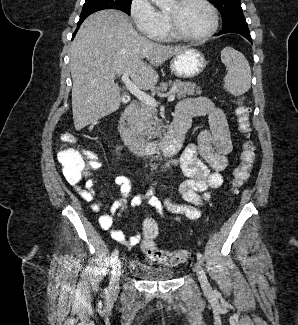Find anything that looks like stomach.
<instances>
[{
	"label": "stomach",
	"instance_id": "0dacf381",
	"mask_svg": "<svg viewBox=\"0 0 298 325\" xmlns=\"http://www.w3.org/2000/svg\"><path fill=\"white\" fill-rule=\"evenodd\" d=\"M208 60L200 48H188L172 56L169 68L177 78H194L201 74Z\"/></svg>",
	"mask_w": 298,
	"mask_h": 325
}]
</instances>
